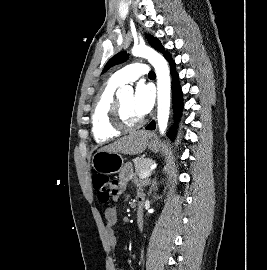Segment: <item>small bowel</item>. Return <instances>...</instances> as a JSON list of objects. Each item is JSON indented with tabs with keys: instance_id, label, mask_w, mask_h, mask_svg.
<instances>
[{
	"instance_id": "1",
	"label": "small bowel",
	"mask_w": 267,
	"mask_h": 270,
	"mask_svg": "<svg viewBox=\"0 0 267 270\" xmlns=\"http://www.w3.org/2000/svg\"><path fill=\"white\" fill-rule=\"evenodd\" d=\"M119 178H120V183L122 187H124L130 180L137 181L133 175V171L130 165H126L123 167V169L120 172ZM139 196L143 197L144 195L142 192H140ZM117 219H118V213H117L116 208L109 207L105 210V221L107 225V228H106L107 239H108V244L113 252H115L116 247H117V236L114 229ZM112 263L115 267V270H122L115 255L112 258Z\"/></svg>"
}]
</instances>
